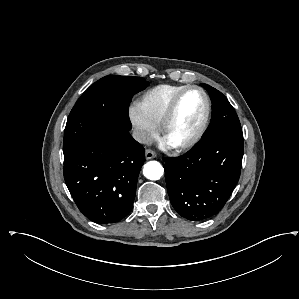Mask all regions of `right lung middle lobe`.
I'll return each mask as SVG.
<instances>
[{
	"label": "right lung middle lobe",
	"instance_id": "obj_1",
	"mask_svg": "<svg viewBox=\"0 0 299 299\" xmlns=\"http://www.w3.org/2000/svg\"><path fill=\"white\" fill-rule=\"evenodd\" d=\"M148 82L141 77L109 75L89 87L70 112L64 131V157L97 135L115 128L131 129L128 107Z\"/></svg>",
	"mask_w": 299,
	"mask_h": 299
}]
</instances>
